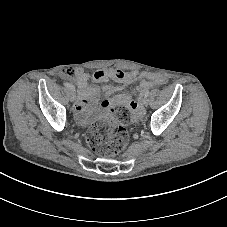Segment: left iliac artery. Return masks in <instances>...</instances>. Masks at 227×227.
Masks as SVG:
<instances>
[{"label": "left iliac artery", "instance_id": "44dca946", "mask_svg": "<svg viewBox=\"0 0 227 227\" xmlns=\"http://www.w3.org/2000/svg\"><path fill=\"white\" fill-rule=\"evenodd\" d=\"M144 96H145V97H148V96H149V91H148V90L145 91Z\"/></svg>", "mask_w": 227, "mask_h": 227}]
</instances>
